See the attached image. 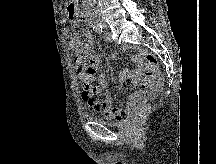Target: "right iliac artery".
Listing matches in <instances>:
<instances>
[{
	"label": "right iliac artery",
	"mask_w": 216,
	"mask_h": 164,
	"mask_svg": "<svg viewBox=\"0 0 216 164\" xmlns=\"http://www.w3.org/2000/svg\"><path fill=\"white\" fill-rule=\"evenodd\" d=\"M93 29L98 32V33H102L103 32V26L101 25V23L99 22H95Z\"/></svg>",
	"instance_id": "obj_1"
}]
</instances>
